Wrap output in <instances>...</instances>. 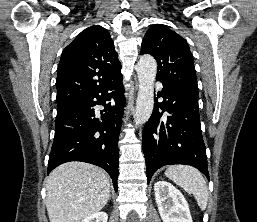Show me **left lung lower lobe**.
Listing matches in <instances>:
<instances>
[{
	"label": "left lung lower lobe",
	"instance_id": "left-lung-lower-lobe-1",
	"mask_svg": "<svg viewBox=\"0 0 257 222\" xmlns=\"http://www.w3.org/2000/svg\"><path fill=\"white\" fill-rule=\"evenodd\" d=\"M162 84L158 97L164 100L159 103L156 99L153 113L143 130L148 183L160 167L172 164L193 166L209 180L198 97L167 83Z\"/></svg>",
	"mask_w": 257,
	"mask_h": 222
}]
</instances>
